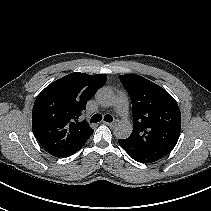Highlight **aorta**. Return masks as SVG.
<instances>
[{
  "label": "aorta",
  "instance_id": "obj_1",
  "mask_svg": "<svg viewBox=\"0 0 211 211\" xmlns=\"http://www.w3.org/2000/svg\"><path fill=\"white\" fill-rule=\"evenodd\" d=\"M96 98L103 106H111L115 101V95L112 90L108 88H101L96 94ZM132 132V125L127 121L119 122L115 129L114 134L119 139H126Z\"/></svg>",
  "mask_w": 211,
  "mask_h": 211
}]
</instances>
